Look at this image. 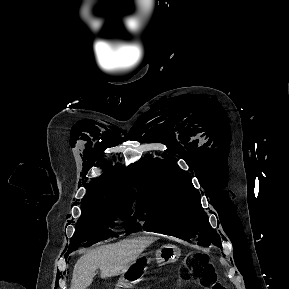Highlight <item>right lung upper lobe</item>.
Returning <instances> with one entry per match:
<instances>
[{"label": "right lung upper lobe", "mask_w": 289, "mask_h": 289, "mask_svg": "<svg viewBox=\"0 0 289 289\" xmlns=\"http://www.w3.org/2000/svg\"><path fill=\"white\" fill-rule=\"evenodd\" d=\"M98 179L89 184V189L82 203L88 202H133L137 199L129 176L130 168L123 170L120 166L111 167Z\"/></svg>", "instance_id": "1"}]
</instances>
